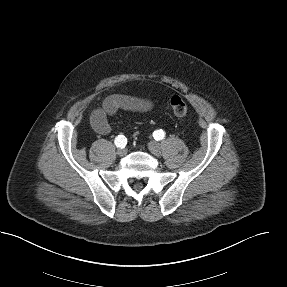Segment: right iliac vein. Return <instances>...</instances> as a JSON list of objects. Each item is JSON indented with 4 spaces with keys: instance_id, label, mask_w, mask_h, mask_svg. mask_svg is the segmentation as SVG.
Segmentation results:
<instances>
[{
    "instance_id": "obj_1",
    "label": "right iliac vein",
    "mask_w": 287,
    "mask_h": 287,
    "mask_svg": "<svg viewBox=\"0 0 287 287\" xmlns=\"http://www.w3.org/2000/svg\"><path fill=\"white\" fill-rule=\"evenodd\" d=\"M117 154L119 155V156H125L126 154H127V150L126 149H124V148H119L118 150H117Z\"/></svg>"
}]
</instances>
